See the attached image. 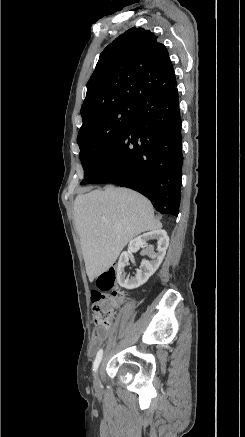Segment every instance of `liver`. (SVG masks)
<instances>
[{
	"instance_id": "1",
	"label": "liver",
	"mask_w": 245,
	"mask_h": 437,
	"mask_svg": "<svg viewBox=\"0 0 245 437\" xmlns=\"http://www.w3.org/2000/svg\"><path fill=\"white\" fill-rule=\"evenodd\" d=\"M73 214L90 282L114 264L134 237L162 227L150 201L126 188L79 194Z\"/></svg>"
}]
</instances>
